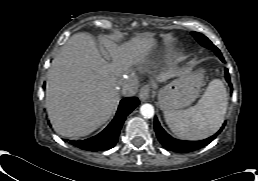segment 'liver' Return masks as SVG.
<instances>
[{"instance_id":"6515ba94","label":"liver","mask_w":258,"mask_h":181,"mask_svg":"<svg viewBox=\"0 0 258 181\" xmlns=\"http://www.w3.org/2000/svg\"><path fill=\"white\" fill-rule=\"evenodd\" d=\"M101 42L113 63L102 57L90 35L78 33L48 70L45 106L54 130L63 137L86 136L110 119L119 100L118 79L144 62L153 46L148 37H134L122 45L106 37ZM190 70L171 65L157 80L186 76Z\"/></svg>"}]
</instances>
